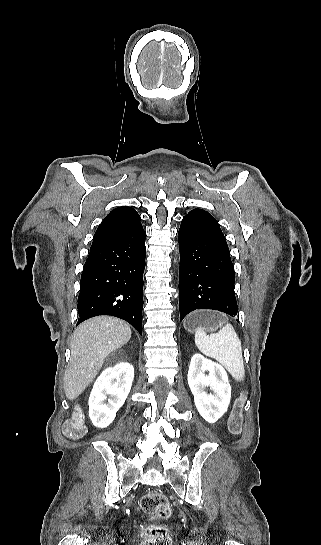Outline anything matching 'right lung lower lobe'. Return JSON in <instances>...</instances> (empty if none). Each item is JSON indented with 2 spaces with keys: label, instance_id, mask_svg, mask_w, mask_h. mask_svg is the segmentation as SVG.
<instances>
[{
  "label": "right lung lower lobe",
  "instance_id": "obj_1",
  "mask_svg": "<svg viewBox=\"0 0 321 545\" xmlns=\"http://www.w3.org/2000/svg\"><path fill=\"white\" fill-rule=\"evenodd\" d=\"M145 254L142 225L92 243L80 280L77 325L94 316L112 315L142 334Z\"/></svg>",
  "mask_w": 321,
  "mask_h": 545
}]
</instances>
